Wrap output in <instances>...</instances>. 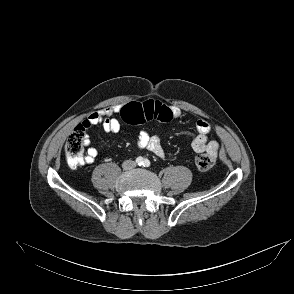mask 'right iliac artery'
Here are the masks:
<instances>
[{
	"label": "right iliac artery",
	"instance_id": "obj_1",
	"mask_svg": "<svg viewBox=\"0 0 294 294\" xmlns=\"http://www.w3.org/2000/svg\"><path fill=\"white\" fill-rule=\"evenodd\" d=\"M136 163H137L139 166L143 165V159H142L141 157H138V158L136 159Z\"/></svg>",
	"mask_w": 294,
	"mask_h": 294
}]
</instances>
